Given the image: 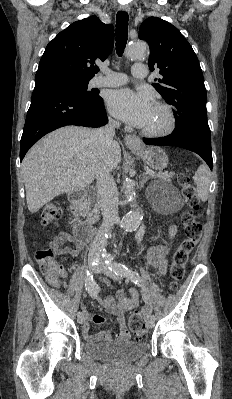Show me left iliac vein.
<instances>
[{
  "mask_svg": "<svg viewBox=\"0 0 232 399\" xmlns=\"http://www.w3.org/2000/svg\"><path fill=\"white\" fill-rule=\"evenodd\" d=\"M93 272L96 274H105L106 277H108L109 279H112L113 281H118L119 277L115 276L114 272H110V269L107 268V266H100L97 268L93 269ZM153 321H150L149 323H147V328H153Z\"/></svg>",
  "mask_w": 232,
  "mask_h": 399,
  "instance_id": "obj_1",
  "label": "left iliac vein"
}]
</instances>
